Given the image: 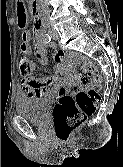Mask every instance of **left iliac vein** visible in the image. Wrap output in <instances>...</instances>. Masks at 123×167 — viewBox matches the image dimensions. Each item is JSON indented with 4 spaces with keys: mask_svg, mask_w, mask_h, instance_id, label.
Returning a JSON list of instances; mask_svg holds the SVG:
<instances>
[{
    "mask_svg": "<svg viewBox=\"0 0 123 167\" xmlns=\"http://www.w3.org/2000/svg\"><path fill=\"white\" fill-rule=\"evenodd\" d=\"M50 34H51L53 40H57V39L59 38L57 32L54 31V30H51V31H50Z\"/></svg>",
    "mask_w": 123,
    "mask_h": 167,
    "instance_id": "1",
    "label": "left iliac vein"
}]
</instances>
